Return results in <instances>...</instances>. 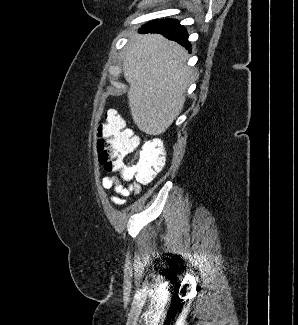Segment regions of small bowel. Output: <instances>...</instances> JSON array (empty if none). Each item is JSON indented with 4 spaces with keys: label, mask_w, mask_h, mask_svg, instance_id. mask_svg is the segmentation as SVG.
I'll list each match as a JSON object with an SVG mask.
<instances>
[{
    "label": "small bowel",
    "mask_w": 298,
    "mask_h": 325,
    "mask_svg": "<svg viewBox=\"0 0 298 325\" xmlns=\"http://www.w3.org/2000/svg\"><path fill=\"white\" fill-rule=\"evenodd\" d=\"M101 183L105 189L114 190L115 194L110 196V200L119 206L125 204L126 197L130 195H138L141 192V186L139 184L124 186L115 177L104 176Z\"/></svg>",
    "instance_id": "small-bowel-1"
}]
</instances>
